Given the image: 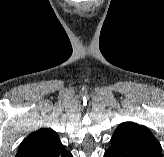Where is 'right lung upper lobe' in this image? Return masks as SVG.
Wrapping results in <instances>:
<instances>
[{
    "instance_id": "right-lung-upper-lobe-1",
    "label": "right lung upper lobe",
    "mask_w": 164,
    "mask_h": 157,
    "mask_svg": "<svg viewBox=\"0 0 164 157\" xmlns=\"http://www.w3.org/2000/svg\"><path fill=\"white\" fill-rule=\"evenodd\" d=\"M58 140L59 136L52 129L37 130L23 140L15 157H30Z\"/></svg>"
}]
</instances>
